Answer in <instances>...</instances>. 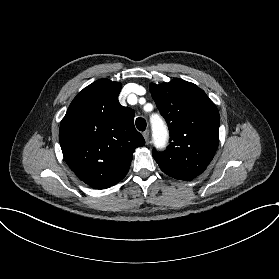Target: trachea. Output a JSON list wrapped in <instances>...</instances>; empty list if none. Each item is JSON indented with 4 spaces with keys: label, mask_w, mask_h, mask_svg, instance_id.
<instances>
[{
    "label": "trachea",
    "mask_w": 279,
    "mask_h": 279,
    "mask_svg": "<svg viewBox=\"0 0 279 279\" xmlns=\"http://www.w3.org/2000/svg\"><path fill=\"white\" fill-rule=\"evenodd\" d=\"M135 124L137 129L140 131H144L146 129V121L144 118H137Z\"/></svg>",
    "instance_id": "3493384b"
}]
</instances>
